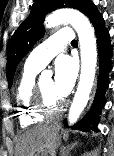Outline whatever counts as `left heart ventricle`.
<instances>
[{
  "instance_id": "left-heart-ventricle-1",
  "label": "left heart ventricle",
  "mask_w": 114,
  "mask_h": 156,
  "mask_svg": "<svg viewBox=\"0 0 114 156\" xmlns=\"http://www.w3.org/2000/svg\"><path fill=\"white\" fill-rule=\"evenodd\" d=\"M40 86L52 105L61 101L53 92V80L51 78L42 80Z\"/></svg>"
}]
</instances>
